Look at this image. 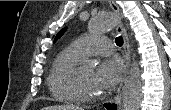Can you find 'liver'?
I'll return each mask as SVG.
<instances>
[{
  "label": "liver",
  "instance_id": "obj_1",
  "mask_svg": "<svg viewBox=\"0 0 171 110\" xmlns=\"http://www.w3.org/2000/svg\"><path fill=\"white\" fill-rule=\"evenodd\" d=\"M42 110H83V109L73 105H56V106L44 107Z\"/></svg>",
  "mask_w": 171,
  "mask_h": 110
}]
</instances>
